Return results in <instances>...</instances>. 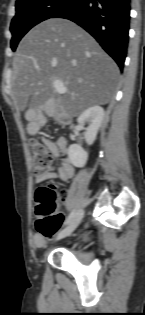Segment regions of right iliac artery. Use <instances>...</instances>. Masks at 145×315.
<instances>
[{
    "mask_svg": "<svg viewBox=\"0 0 145 315\" xmlns=\"http://www.w3.org/2000/svg\"><path fill=\"white\" fill-rule=\"evenodd\" d=\"M74 216H75V211H72V212L70 213V215L68 216V218L66 219L64 225L69 224L70 221L72 220V218H73Z\"/></svg>",
    "mask_w": 145,
    "mask_h": 315,
    "instance_id": "1",
    "label": "right iliac artery"
}]
</instances>
